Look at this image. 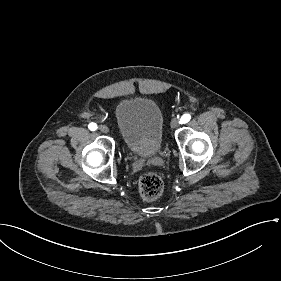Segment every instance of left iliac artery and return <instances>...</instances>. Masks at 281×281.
I'll use <instances>...</instances> for the list:
<instances>
[{"mask_svg":"<svg viewBox=\"0 0 281 281\" xmlns=\"http://www.w3.org/2000/svg\"><path fill=\"white\" fill-rule=\"evenodd\" d=\"M191 119V115L190 114H184L181 119H180V123H187L188 121H190Z\"/></svg>","mask_w":281,"mask_h":281,"instance_id":"left-iliac-artery-1","label":"left iliac artery"}]
</instances>
